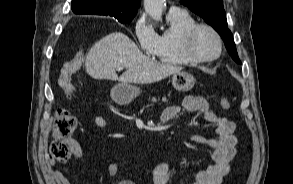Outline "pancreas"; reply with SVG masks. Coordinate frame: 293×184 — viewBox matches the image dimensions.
I'll use <instances>...</instances> for the list:
<instances>
[{
	"mask_svg": "<svg viewBox=\"0 0 293 184\" xmlns=\"http://www.w3.org/2000/svg\"><path fill=\"white\" fill-rule=\"evenodd\" d=\"M151 101H152L153 103H156V102H157L156 98H152ZM163 101H167V100L164 98Z\"/></svg>",
	"mask_w": 293,
	"mask_h": 184,
	"instance_id": "obj_1",
	"label": "pancreas"
}]
</instances>
